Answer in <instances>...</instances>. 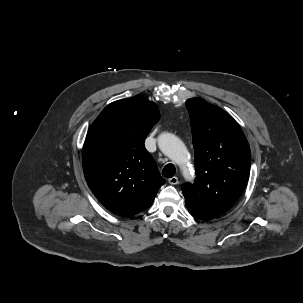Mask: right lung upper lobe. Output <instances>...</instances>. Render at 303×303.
Returning <instances> with one entry per match:
<instances>
[{"instance_id":"1","label":"right lung upper lobe","mask_w":303,"mask_h":303,"mask_svg":"<svg viewBox=\"0 0 303 303\" xmlns=\"http://www.w3.org/2000/svg\"><path fill=\"white\" fill-rule=\"evenodd\" d=\"M159 118L155 103L130 98L110 103L89 128L82 156L84 175L112 213L130 217L147 209L165 183L144 147Z\"/></svg>"}]
</instances>
